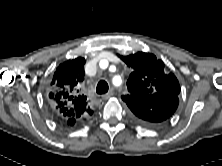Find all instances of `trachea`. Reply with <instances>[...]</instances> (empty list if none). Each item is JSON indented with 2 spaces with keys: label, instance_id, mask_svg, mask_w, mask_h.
<instances>
[{
  "label": "trachea",
  "instance_id": "obj_1",
  "mask_svg": "<svg viewBox=\"0 0 222 166\" xmlns=\"http://www.w3.org/2000/svg\"><path fill=\"white\" fill-rule=\"evenodd\" d=\"M109 90V86L106 81L101 80L98 82L97 87H96V92L97 94H105Z\"/></svg>",
  "mask_w": 222,
  "mask_h": 166
}]
</instances>
